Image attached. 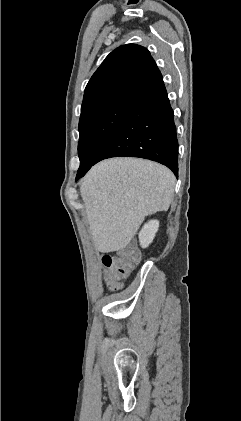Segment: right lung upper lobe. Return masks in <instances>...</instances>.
Returning a JSON list of instances; mask_svg holds the SVG:
<instances>
[{
    "label": "right lung upper lobe",
    "instance_id": "1",
    "mask_svg": "<svg viewBox=\"0 0 241 421\" xmlns=\"http://www.w3.org/2000/svg\"><path fill=\"white\" fill-rule=\"evenodd\" d=\"M161 75L150 52L126 44L112 51L88 82L81 116L105 106L132 99Z\"/></svg>",
    "mask_w": 241,
    "mask_h": 421
}]
</instances>
